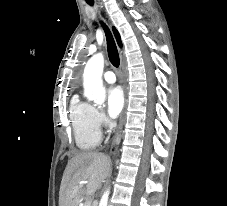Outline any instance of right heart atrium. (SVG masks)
I'll list each match as a JSON object with an SVG mask.
<instances>
[{
    "label": "right heart atrium",
    "instance_id": "right-heart-atrium-1",
    "mask_svg": "<svg viewBox=\"0 0 227 206\" xmlns=\"http://www.w3.org/2000/svg\"><path fill=\"white\" fill-rule=\"evenodd\" d=\"M93 122L98 130L102 129L107 123L105 115L96 108L93 110Z\"/></svg>",
    "mask_w": 227,
    "mask_h": 206
}]
</instances>
